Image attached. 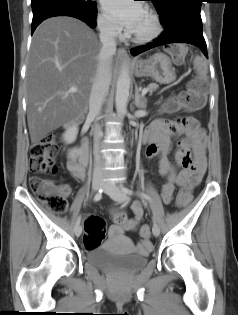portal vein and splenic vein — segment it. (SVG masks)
<instances>
[{
  "label": "portal vein and splenic vein",
  "mask_w": 238,
  "mask_h": 315,
  "mask_svg": "<svg viewBox=\"0 0 238 315\" xmlns=\"http://www.w3.org/2000/svg\"><path fill=\"white\" fill-rule=\"evenodd\" d=\"M69 91H70V92H77V88L72 87V88L69 89ZM147 92H148V88H144V89L142 90V95H145Z\"/></svg>",
  "instance_id": "obj_1"
}]
</instances>
